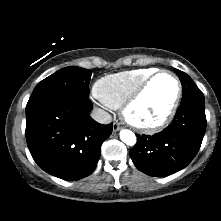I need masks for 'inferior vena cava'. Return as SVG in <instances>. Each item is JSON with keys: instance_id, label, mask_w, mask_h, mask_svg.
<instances>
[{"instance_id": "602c4592", "label": "inferior vena cava", "mask_w": 221, "mask_h": 221, "mask_svg": "<svg viewBox=\"0 0 221 221\" xmlns=\"http://www.w3.org/2000/svg\"><path fill=\"white\" fill-rule=\"evenodd\" d=\"M91 117L101 124H109L112 120L111 115L102 109H94L91 113Z\"/></svg>"}]
</instances>
